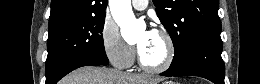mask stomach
Masks as SVG:
<instances>
[{
	"label": "stomach",
	"instance_id": "1",
	"mask_svg": "<svg viewBox=\"0 0 260 84\" xmlns=\"http://www.w3.org/2000/svg\"><path fill=\"white\" fill-rule=\"evenodd\" d=\"M162 84H176V83H174V82H172V81H165V82H163Z\"/></svg>",
	"mask_w": 260,
	"mask_h": 84
}]
</instances>
